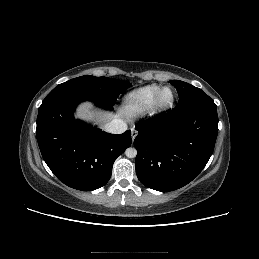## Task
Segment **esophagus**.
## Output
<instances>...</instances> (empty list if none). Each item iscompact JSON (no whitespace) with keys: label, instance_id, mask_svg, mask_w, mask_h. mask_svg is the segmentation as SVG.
Returning <instances> with one entry per match:
<instances>
[{"label":"esophagus","instance_id":"esophagus-1","mask_svg":"<svg viewBox=\"0 0 259 259\" xmlns=\"http://www.w3.org/2000/svg\"><path fill=\"white\" fill-rule=\"evenodd\" d=\"M138 134V131L134 128L131 129V137H132V140H134L136 138Z\"/></svg>","mask_w":259,"mask_h":259}]
</instances>
